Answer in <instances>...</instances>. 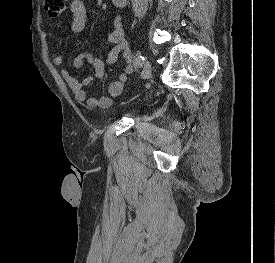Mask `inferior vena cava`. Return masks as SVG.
<instances>
[{"instance_id": "inferior-vena-cava-1", "label": "inferior vena cava", "mask_w": 275, "mask_h": 263, "mask_svg": "<svg viewBox=\"0 0 275 263\" xmlns=\"http://www.w3.org/2000/svg\"><path fill=\"white\" fill-rule=\"evenodd\" d=\"M132 7L135 16L142 18L147 11L148 0H132Z\"/></svg>"}]
</instances>
